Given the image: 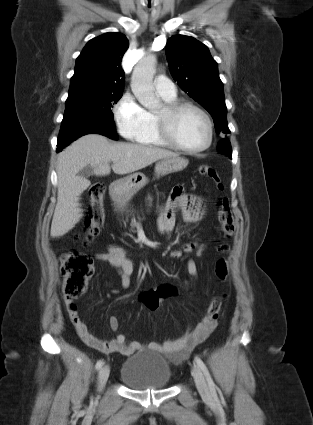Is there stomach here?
Masks as SVG:
<instances>
[{
  "mask_svg": "<svg viewBox=\"0 0 313 425\" xmlns=\"http://www.w3.org/2000/svg\"><path fill=\"white\" fill-rule=\"evenodd\" d=\"M188 162V159L179 156L162 159L155 165L156 178L182 171L187 167ZM147 183L148 178L143 173H134L115 181L112 185L111 194L119 200H129Z\"/></svg>",
  "mask_w": 313,
  "mask_h": 425,
  "instance_id": "obj_1",
  "label": "stomach"
}]
</instances>
